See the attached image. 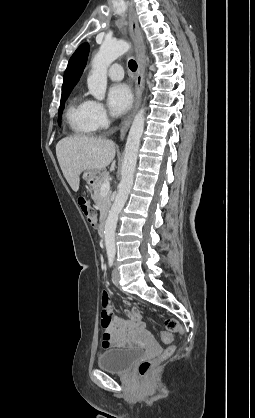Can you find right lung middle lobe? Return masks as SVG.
Here are the masks:
<instances>
[{
    "instance_id": "dd1d6c3e",
    "label": "right lung middle lobe",
    "mask_w": 255,
    "mask_h": 418,
    "mask_svg": "<svg viewBox=\"0 0 255 418\" xmlns=\"http://www.w3.org/2000/svg\"><path fill=\"white\" fill-rule=\"evenodd\" d=\"M70 92H71V89L62 92L61 103H60V108H59V112H58V124L59 125H61V115H62V111L64 109V102L66 101Z\"/></svg>"
}]
</instances>
